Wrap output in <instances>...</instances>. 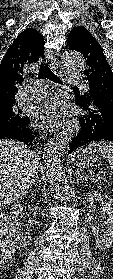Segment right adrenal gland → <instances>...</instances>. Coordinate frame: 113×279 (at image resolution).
I'll return each mask as SVG.
<instances>
[{"label":"right adrenal gland","instance_id":"right-adrenal-gland-1","mask_svg":"<svg viewBox=\"0 0 113 279\" xmlns=\"http://www.w3.org/2000/svg\"><path fill=\"white\" fill-rule=\"evenodd\" d=\"M38 180H39V177H38V172H36V176L31 184V186H37L38 184Z\"/></svg>","mask_w":113,"mask_h":279}]
</instances>
